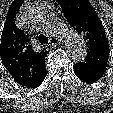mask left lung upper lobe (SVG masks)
<instances>
[{"instance_id": "left-lung-upper-lobe-1", "label": "left lung upper lobe", "mask_w": 113, "mask_h": 113, "mask_svg": "<svg viewBox=\"0 0 113 113\" xmlns=\"http://www.w3.org/2000/svg\"><path fill=\"white\" fill-rule=\"evenodd\" d=\"M67 21L83 36L88 47L85 63L107 67L109 45L100 18L89 0H56Z\"/></svg>"}]
</instances>
